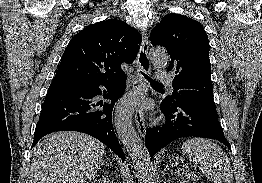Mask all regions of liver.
<instances>
[{"instance_id":"6515ba94","label":"liver","mask_w":262,"mask_h":183,"mask_svg":"<svg viewBox=\"0 0 262 183\" xmlns=\"http://www.w3.org/2000/svg\"><path fill=\"white\" fill-rule=\"evenodd\" d=\"M104 149L89 135L55 132L35 147L29 183H90L100 169Z\"/></svg>"}]
</instances>
